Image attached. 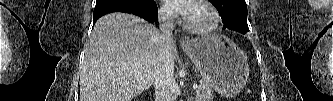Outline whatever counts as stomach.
I'll return each mask as SVG.
<instances>
[{"label": "stomach", "mask_w": 333, "mask_h": 101, "mask_svg": "<svg viewBox=\"0 0 333 101\" xmlns=\"http://www.w3.org/2000/svg\"><path fill=\"white\" fill-rule=\"evenodd\" d=\"M183 49L204 81L223 97H234L244 88L249 75L248 62L229 38L207 35Z\"/></svg>", "instance_id": "0dacf381"}]
</instances>
